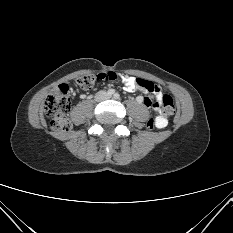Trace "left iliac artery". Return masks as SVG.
<instances>
[{
  "instance_id": "1",
  "label": "left iliac artery",
  "mask_w": 233,
  "mask_h": 233,
  "mask_svg": "<svg viewBox=\"0 0 233 233\" xmlns=\"http://www.w3.org/2000/svg\"><path fill=\"white\" fill-rule=\"evenodd\" d=\"M114 98H115V99H119V98H120V95H119L118 93H115V94H114Z\"/></svg>"
}]
</instances>
